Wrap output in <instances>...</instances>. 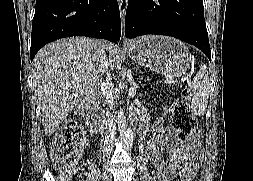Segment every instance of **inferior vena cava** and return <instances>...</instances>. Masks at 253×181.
Segmentation results:
<instances>
[{
  "label": "inferior vena cava",
  "mask_w": 253,
  "mask_h": 181,
  "mask_svg": "<svg viewBox=\"0 0 253 181\" xmlns=\"http://www.w3.org/2000/svg\"><path fill=\"white\" fill-rule=\"evenodd\" d=\"M103 61H104V67H105V75H106V80L102 83V92L103 94L106 96V102L108 104L112 103V93H113V84H112V77L110 75V70L109 67H112V65L109 63L108 58L106 53L103 56ZM110 110L112 109V105L109 106ZM109 128H108V133L107 134V139L109 138H113V134L116 133V130L114 127H112L113 125V120H110L108 122ZM106 139V137H105Z\"/></svg>",
  "instance_id": "inferior-vena-cava-1"
}]
</instances>
